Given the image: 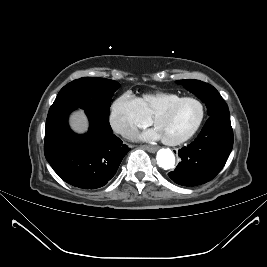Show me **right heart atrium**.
<instances>
[{
    "label": "right heart atrium",
    "mask_w": 267,
    "mask_h": 267,
    "mask_svg": "<svg viewBox=\"0 0 267 267\" xmlns=\"http://www.w3.org/2000/svg\"><path fill=\"white\" fill-rule=\"evenodd\" d=\"M109 122L116 133L131 137L139 128L149 125L151 119L142 110L139 99L124 92L112 101Z\"/></svg>",
    "instance_id": "1"
}]
</instances>
